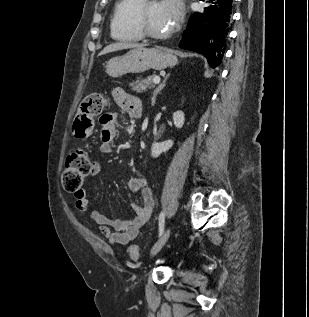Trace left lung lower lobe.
<instances>
[{
    "mask_svg": "<svg viewBox=\"0 0 309 317\" xmlns=\"http://www.w3.org/2000/svg\"><path fill=\"white\" fill-rule=\"evenodd\" d=\"M209 2L203 12H196L190 17L179 47L202 54L215 68L221 64L225 52L234 0Z\"/></svg>",
    "mask_w": 309,
    "mask_h": 317,
    "instance_id": "1",
    "label": "left lung lower lobe"
}]
</instances>
